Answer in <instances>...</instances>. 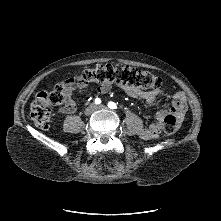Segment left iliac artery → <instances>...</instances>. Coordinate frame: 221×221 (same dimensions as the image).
<instances>
[{
	"mask_svg": "<svg viewBox=\"0 0 221 221\" xmlns=\"http://www.w3.org/2000/svg\"><path fill=\"white\" fill-rule=\"evenodd\" d=\"M108 107L111 108V109H116L117 108V106L114 102H109Z\"/></svg>",
	"mask_w": 221,
	"mask_h": 221,
	"instance_id": "obj_1",
	"label": "left iliac artery"
}]
</instances>
